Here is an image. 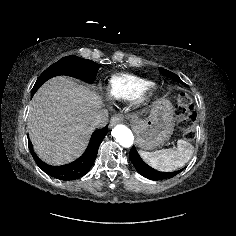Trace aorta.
I'll use <instances>...</instances> for the list:
<instances>
[{"label":"aorta","instance_id":"1","mask_svg":"<svg viewBox=\"0 0 236 236\" xmlns=\"http://www.w3.org/2000/svg\"><path fill=\"white\" fill-rule=\"evenodd\" d=\"M112 136L123 147H131L134 142V136L131 130L125 125H116L112 130Z\"/></svg>","mask_w":236,"mask_h":236}]
</instances>
